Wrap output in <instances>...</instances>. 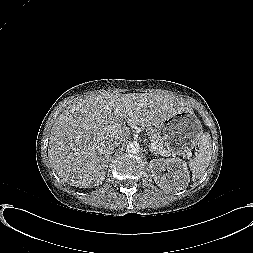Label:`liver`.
<instances>
[{
  "mask_svg": "<svg viewBox=\"0 0 253 253\" xmlns=\"http://www.w3.org/2000/svg\"><path fill=\"white\" fill-rule=\"evenodd\" d=\"M191 110L171 94L103 91L70 104L51 129L48 157L59 177L90 187L105 180L112 142L123 141L129 126L158 127L167 118Z\"/></svg>",
  "mask_w": 253,
  "mask_h": 253,
  "instance_id": "liver-1",
  "label": "liver"
}]
</instances>
